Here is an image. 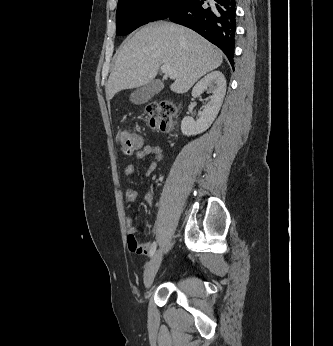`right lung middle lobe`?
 Instances as JSON below:
<instances>
[{"mask_svg": "<svg viewBox=\"0 0 333 346\" xmlns=\"http://www.w3.org/2000/svg\"><path fill=\"white\" fill-rule=\"evenodd\" d=\"M185 0H118L116 34L127 35L152 21L166 19Z\"/></svg>", "mask_w": 333, "mask_h": 346, "instance_id": "1", "label": "right lung middle lobe"}]
</instances>
